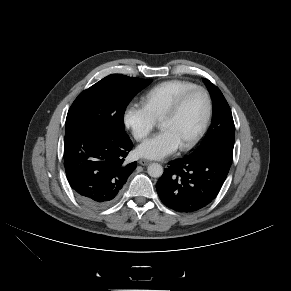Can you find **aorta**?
<instances>
[{
  "label": "aorta",
  "instance_id": "1",
  "mask_svg": "<svg viewBox=\"0 0 291 291\" xmlns=\"http://www.w3.org/2000/svg\"><path fill=\"white\" fill-rule=\"evenodd\" d=\"M147 171L151 177L158 178L163 174V167L158 163H152L148 166Z\"/></svg>",
  "mask_w": 291,
  "mask_h": 291
}]
</instances>
